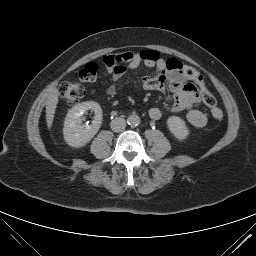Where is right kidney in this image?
Wrapping results in <instances>:
<instances>
[{
  "mask_svg": "<svg viewBox=\"0 0 256 256\" xmlns=\"http://www.w3.org/2000/svg\"><path fill=\"white\" fill-rule=\"evenodd\" d=\"M88 110L94 111L95 116L91 125L84 126L82 115ZM102 117V109L98 103L87 101L76 104L66 115L63 128L64 140L75 148L86 145L99 131Z\"/></svg>",
  "mask_w": 256,
  "mask_h": 256,
  "instance_id": "obj_1",
  "label": "right kidney"
}]
</instances>
